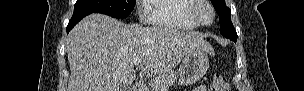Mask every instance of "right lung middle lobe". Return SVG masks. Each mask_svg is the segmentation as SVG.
<instances>
[{"instance_id": "right-lung-middle-lobe-1", "label": "right lung middle lobe", "mask_w": 304, "mask_h": 91, "mask_svg": "<svg viewBox=\"0 0 304 91\" xmlns=\"http://www.w3.org/2000/svg\"><path fill=\"white\" fill-rule=\"evenodd\" d=\"M136 0H77L73 14L102 13L114 18H126Z\"/></svg>"}]
</instances>
